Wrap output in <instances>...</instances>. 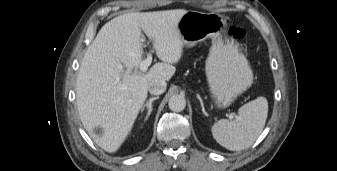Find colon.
Segmentation results:
<instances>
[{"instance_id":"colon-1","label":"colon","mask_w":337,"mask_h":171,"mask_svg":"<svg viewBox=\"0 0 337 171\" xmlns=\"http://www.w3.org/2000/svg\"><path fill=\"white\" fill-rule=\"evenodd\" d=\"M229 35L236 40H241L243 38H245L246 36V31L245 29L241 28V27H236L233 26L229 29Z\"/></svg>"}]
</instances>
